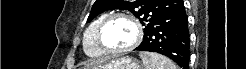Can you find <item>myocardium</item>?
I'll return each mask as SVG.
<instances>
[{
	"label": "myocardium",
	"mask_w": 246,
	"mask_h": 69,
	"mask_svg": "<svg viewBox=\"0 0 246 69\" xmlns=\"http://www.w3.org/2000/svg\"><path fill=\"white\" fill-rule=\"evenodd\" d=\"M117 18H123L126 19L128 21H130L134 28H135V32H136V36L134 41L127 47L121 48V49H114V48H110L109 46H107L103 39H102V35L103 32L105 30V28L107 27V25L114 19ZM96 38H97V42L99 44V46L101 47V49L103 50V52L108 53L110 55H121L123 53H126L127 51L133 50L135 47H137L140 42L142 41L143 38V27L139 21V19H137L135 16L128 14V13H112V14H108L103 21L100 23V25L97 28L96 31Z\"/></svg>",
	"instance_id": "obj_1"
}]
</instances>
